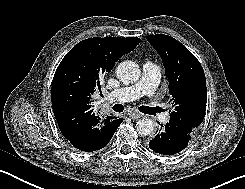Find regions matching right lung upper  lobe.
Masks as SVG:
<instances>
[{
  "mask_svg": "<svg viewBox=\"0 0 245 189\" xmlns=\"http://www.w3.org/2000/svg\"><path fill=\"white\" fill-rule=\"evenodd\" d=\"M139 43L136 37H94L79 42L66 54L51 88L53 112L66 139L92 128L97 113L91 96L100 86L99 78L111 72L115 62Z\"/></svg>",
  "mask_w": 245,
  "mask_h": 189,
  "instance_id": "right-lung-upper-lobe-1",
  "label": "right lung upper lobe"
}]
</instances>
